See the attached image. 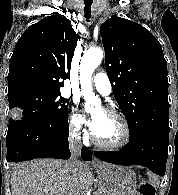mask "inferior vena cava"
Returning <instances> with one entry per match:
<instances>
[{
    "instance_id": "602c4592",
    "label": "inferior vena cava",
    "mask_w": 178,
    "mask_h": 195,
    "mask_svg": "<svg viewBox=\"0 0 178 195\" xmlns=\"http://www.w3.org/2000/svg\"><path fill=\"white\" fill-rule=\"evenodd\" d=\"M69 147L72 153V158L70 159V168L73 174H76L79 170L80 165V152H81V138L79 136L72 137L69 140Z\"/></svg>"
}]
</instances>
